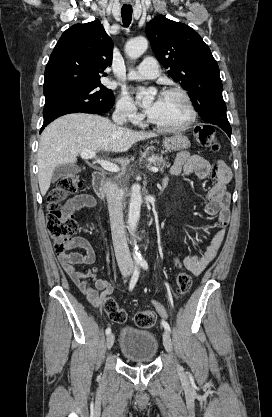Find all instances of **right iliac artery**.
<instances>
[{
    "label": "right iliac artery",
    "mask_w": 272,
    "mask_h": 417,
    "mask_svg": "<svg viewBox=\"0 0 272 417\" xmlns=\"http://www.w3.org/2000/svg\"><path fill=\"white\" fill-rule=\"evenodd\" d=\"M139 267H138V264H136V266H135V270H134V272H133V275H132V278H131V280H130V284H129V290L131 291V290H133V288H134V286L136 285V283H137V280H138V278H139ZM111 333V329L108 327L107 329H106V335H109Z\"/></svg>",
    "instance_id": "obj_1"
}]
</instances>
